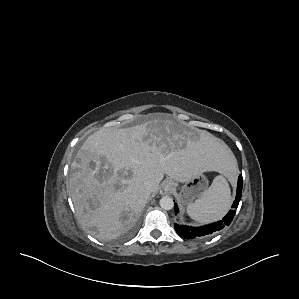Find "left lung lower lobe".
I'll return each instance as SVG.
<instances>
[{
  "mask_svg": "<svg viewBox=\"0 0 299 299\" xmlns=\"http://www.w3.org/2000/svg\"><path fill=\"white\" fill-rule=\"evenodd\" d=\"M242 187H243V178L242 174L239 175L238 178V184H237V194H236V199L232 205V210L228 212V214L223 218L222 221H218L216 223H212L209 225H205L202 227H189L185 225H178L175 224V230L184 239H194V238H203L210 236L217 231L223 229L225 226L229 225L231 221L233 220L236 210L235 208L238 207V204L241 199L242 195ZM179 212L178 207L175 205V214Z\"/></svg>",
  "mask_w": 299,
  "mask_h": 299,
  "instance_id": "1",
  "label": "left lung lower lobe"
}]
</instances>
